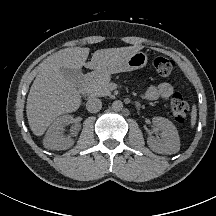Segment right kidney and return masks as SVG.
<instances>
[{"mask_svg":"<svg viewBox=\"0 0 216 216\" xmlns=\"http://www.w3.org/2000/svg\"><path fill=\"white\" fill-rule=\"evenodd\" d=\"M73 117L63 115L58 117L49 127L43 140V145L51 150H65L73 146L74 140L62 134L63 127L71 124Z\"/></svg>","mask_w":216,"mask_h":216,"instance_id":"right-kidney-1","label":"right kidney"}]
</instances>
